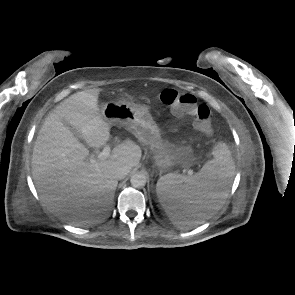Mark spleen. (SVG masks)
Returning a JSON list of instances; mask_svg holds the SVG:
<instances>
[{"mask_svg": "<svg viewBox=\"0 0 295 295\" xmlns=\"http://www.w3.org/2000/svg\"><path fill=\"white\" fill-rule=\"evenodd\" d=\"M213 159L193 175L169 173L156 185L159 200L173 223L191 228L217 209L227 197L235 173V163L225 143L212 150Z\"/></svg>", "mask_w": 295, "mask_h": 295, "instance_id": "3e777b00", "label": "spleen"}]
</instances>
